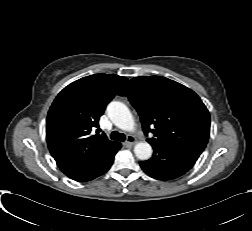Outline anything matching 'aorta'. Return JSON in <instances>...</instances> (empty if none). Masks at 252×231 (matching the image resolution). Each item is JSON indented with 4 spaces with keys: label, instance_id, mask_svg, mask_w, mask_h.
<instances>
[{
    "label": "aorta",
    "instance_id": "obj_1",
    "mask_svg": "<svg viewBox=\"0 0 252 231\" xmlns=\"http://www.w3.org/2000/svg\"><path fill=\"white\" fill-rule=\"evenodd\" d=\"M107 114L115 126L121 130H134V119L129 108L122 102L112 101L107 106ZM152 147L148 142H139L134 147V153L139 160H148L152 156Z\"/></svg>",
    "mask_w": 252,
    "mask_h": 231
}]
</instances>
